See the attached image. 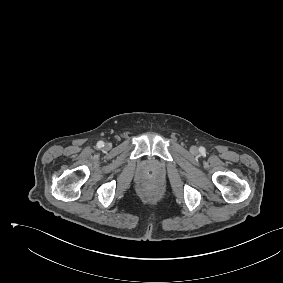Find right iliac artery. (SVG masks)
Masks as SVG:
<instances>
[{"instance_id": "obj_1", "label": "right iliac artery", "mask_w": 283, "mask_h": 283, "mask_svg": "<svg viewBox=\"0 0 283 283\" xmlns=\"http://www.w3.org/2000/svg\"><path fill=\"white\" fill-rule=\"evenodd\" d=\"M104 146V142L103 141H99L98 143H97V147L98 148H101V147H103Z\"/></svg>"}]
</instances>
